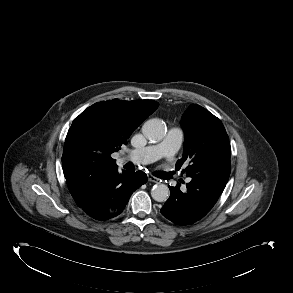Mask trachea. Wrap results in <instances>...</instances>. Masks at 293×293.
I'll list each match as a JSON object with an SVG mask.
<instances>
[{
    "instance_id": "3493384b",
    "label": "trachea",
    "mask_w": 293,
    "mask_h": 293,
    "mask_svg": "<svg viewBox=\"0 0 293 293\" xmlns=\"http://www.w3.org/2000/svg\"><path fill=\"white\" fill-rule=\"evenodd\" d=\"M130 166H132V164H131V163H128V164H126V165L124 166V168L127 169V170H129Z\"/></svg>"
}]
</instances>
